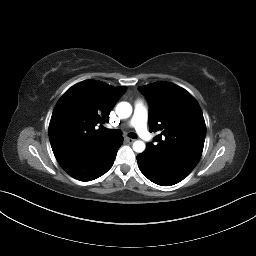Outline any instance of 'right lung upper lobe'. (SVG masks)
Returning <instances> with one entry per match:
<instances>
[{
	"label": "right lung upper lobe",
	"instance_id": "cb5924a9",
	"mask_svg": "<svg viewBox=\"0 0 256 256\" xmlns=\"http://www.w3.org/2000/svg\"><path fill=\"white\" fill-rule=\"evenodd\" d=\"M126 87H113L98 80L82 81L57 102L49 124V139L59 163L90 152L117 136L96 128L109 121V114Z\"/></svg>",
	"mask_w": 256,
	"mask_h": 256
}]
</instances>
